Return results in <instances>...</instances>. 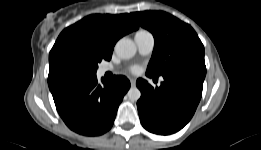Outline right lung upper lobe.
<instances>
[{
	"instance_id": "1",
	"label": "right lung upper lobe",
	"mask_w": 261,
	"mask_h": 150,
	"mask_svg": "<svg viewBox=\"0 0 261 150\" xmlns=\"http://www.w3.org/2000/svg\"><path fill=\"white\" fill-rule=\"evenodd\" d=\"M138 28L139 26L129 14L89 15L65 28L49 54L48 85L50 91L74 80L94 77L89 74L80 77L68 74L62 65V56L65 52L73 48H82L93 55L110 60L115 43L124 35Z\"/></svg>"
}]
</instances>
